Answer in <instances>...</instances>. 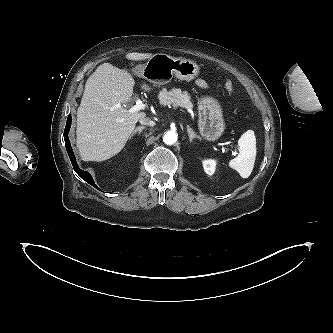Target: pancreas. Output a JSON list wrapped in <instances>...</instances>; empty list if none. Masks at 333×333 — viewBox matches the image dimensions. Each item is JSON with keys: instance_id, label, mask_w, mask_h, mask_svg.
<instances>
[{"instance_id": "pancreas-1", "label": "pancreas", "mask_w": 333, "mask_h": 333, "mask_svg": "<svg viewBox=\"0 0 333 333\" xmlns=\"http://www.w3.org/2000/svg\"><path fill=\"white\" fill-rule=\"evenodd\" d=\"M159 103L162 106H173V107H183L186 109H192L193 103L190 101V95L186 91H181V89H172L171 91H167L163 89L159 93Z\"/></svg>"}]
</instances>
